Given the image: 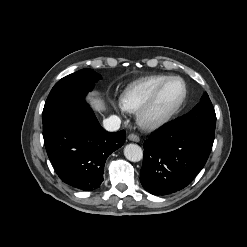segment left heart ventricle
Here are the masks:
<instances>
[{"mask_svg": "<svg viewBox=\"0 0 247 247\" xmlns=\"http://www.w3.org/2000/svg\"><path fill=\"white\" fill-rule=\"evenodd\" d=\"M183 85L180 81L169 82L161 91L152 109L154 115L162 114L171 109L181 98Z\"/></svg>", "mask_w": 247, "mask_h": 247, "instance_id": "left-heart-ventricle-1", "label": "left heart ventricle"}]
</instances>
